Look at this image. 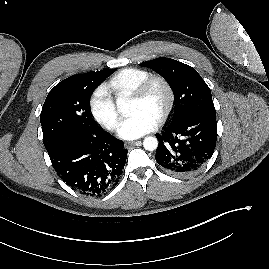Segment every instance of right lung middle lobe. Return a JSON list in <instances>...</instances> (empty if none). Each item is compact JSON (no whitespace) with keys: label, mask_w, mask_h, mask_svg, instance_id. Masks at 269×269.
I'll list each match as a JSON object with an SVG mask.
<instances>
[{"label":"right lung middle lobe","mask_w":269,"mask_h":269,"mask_svg":"<svg viewBox=\"0 0 269 269\" xmlns=\"http://www.w3.org/2000/svg\"><path fill=\"white\" fill-rule=\"evenodd\" d=\"M113 72L107 69L70 76L49 92L40 114L45 148L64 135L100 129L91 116L89 100L94 89Z\"/></svg>","instance_id":"1"}]
</instances>
